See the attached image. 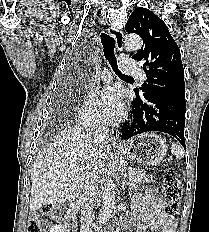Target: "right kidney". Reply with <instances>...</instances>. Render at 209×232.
I'll list each match as a JSON object with an SVG mask.
<instances>
[{"instance_id": "right-kidney-1", "label": "right kidney", "mask_w": 209, "mask_h": 232, "mask_svg": "<svg viewBox=\"0 0 209 232\" xmlns=\"http://www.w3.org/2000/svg\"><path fill=\"white\" fill-rule=\"evenodd\" d=\"M49 232H67V230L62 225H55L49 228Z\"/></svg>"}]
</instances>
